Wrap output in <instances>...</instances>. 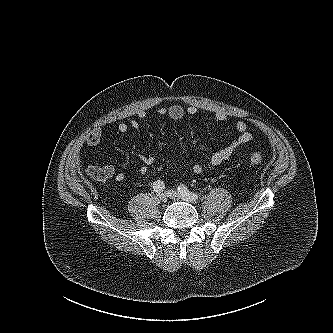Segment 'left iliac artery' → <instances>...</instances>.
Returning <instances> with one entry per match:
<instances>
[{"label":"left iliac artery","instance_id":"44dca946","mask_svg":"<svg viewBox=\"0 0 333 333\" xmlns=\"http://www.w3.org/2000/svg\"><path fill=\"white\" fill-rule=\"evenodd\" d=\"M178 192H180L184 197H187L192 201H196L199 199V194L190 192L189 189L184 185L178 186Z\"/></svg>","mask_w":333,"mask_h":333}]
</instances>
